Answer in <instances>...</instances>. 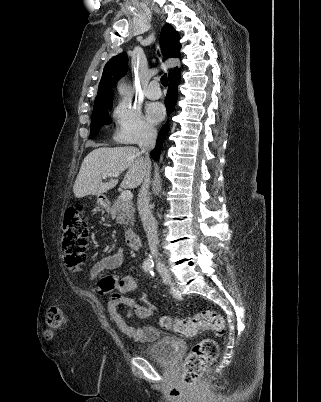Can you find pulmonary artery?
I'll return each mask as SVG.
<instances>
[{"label":"pulmonary artery","mask_w":321,"mask_h":402,"mask_svg":"<svg viewBox=\"0 0 321 402\" xmlns=\"http://www.w3.org/2000/svg\"><path fill=\"white\" fill-rule=\"evenodd\" d=\"M145 94H146V97L151 99V100H155V99L160 98L161 90H160V87H159V83H158V81L156 79L149 83Z\"/></svg>","instance_id":"e3ab8cb5"}]
</instances>
